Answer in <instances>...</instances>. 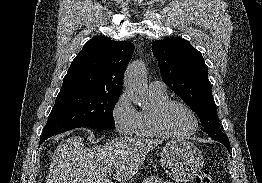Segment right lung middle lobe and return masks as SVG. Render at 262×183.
Segmentation results:
<instances>
[{
	"instance_id": "dd1d6c3e",
	"label": "right lung middle lobe",
	"mask_w": 262,
	"mask_h": 183,
	"mask_svg": "<svg viewBox=\"0 0 262 183\" xmlns=\"http://www.w3.org/2000/svg\"><path fill=\"white\" fill-rule=\"evenodd\" d=\"M120 94L77 90L59 93L42 136L56 135L74 128L115 127L113 108Z\"/></svg>"
}]
</instances>
